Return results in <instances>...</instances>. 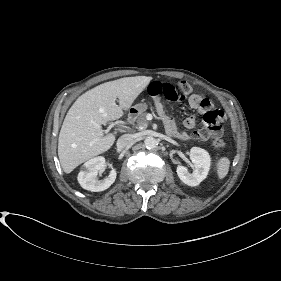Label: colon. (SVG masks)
I'll return each mask as SVG.
<instances>
[{"label":"colon","mask_w":281,"mask_h":281,"mask_svg":"<svg viewBox=\"0 0 281 281\" xmlns=\"http://www.w3.org/2000/svg\"><path fill=\"white\" fill-rule=\"evenodd\" d=\"M149 95L153 98H165L168 101H181L190 92L191 86L187 82L170 84L165 82H153L148 88ZM224 120V114L219 110H211L205 113V128L198 131L195 138H210L213 146L223 148L225 142L218 136L221 124Z\"/></svg>","instance_id":"5ec220e1"}]
</instances>
